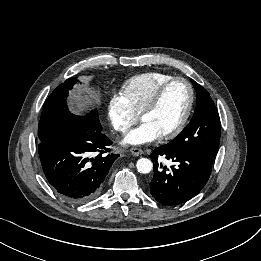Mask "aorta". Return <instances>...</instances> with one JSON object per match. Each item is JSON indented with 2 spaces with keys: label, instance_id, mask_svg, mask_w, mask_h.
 Returning <instances> with one entry per match:
<instances>
[{
  "label": "aorta",
  "instance_id": "aorta-1",
  "mask_svg": "<svg viewBox=\"0 0 261 261\" xmlns=\"http://www.w3.org/2000/svg\"><path fill=\"white\" fill-rule=\"evenodd\" d=\"M136 167L139 173L148 174L151 172L153 164L151 160L147 158H141L137 161Z\"/></svg>",
  "mask_w": 261,
  "mask_h": 261
}]
</instances>
